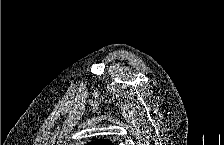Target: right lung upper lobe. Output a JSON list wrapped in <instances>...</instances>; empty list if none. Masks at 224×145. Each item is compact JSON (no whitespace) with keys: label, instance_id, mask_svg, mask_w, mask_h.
<instances>
[{"label":"right lung upper lobe","instance_id":"right-lung-upper-lobe-1","mask_svg":"<svg viewBox=\"0 0 224 145\" xmlns=\"http://www.w3.org/2000/svg\"><path fill=\"white\" fill-rule=\"evenodd\" d=\"M91 144L112 145V143L109 140H104V139L96 140V141L92 142Z\"/></svg>","mask_w":224,"mask_h":145}]
</instances>
